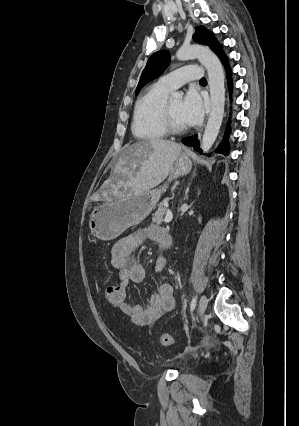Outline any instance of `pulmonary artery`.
Segmentation results:
<instances>
[{
  "label": "pulmonary artery",
  "instance_id": "obj_1",
  "mask_svg": "<svg viewBox=\"0 0 299 426\" xmlns=\"http://www.w3.org/2000/svg\"><path fill=\"white\" fill-rule=\"evenodd\" d=\"M202 76V70L196 65H187L178 68L159 79V83L169 90H174L193 80H198Z\"/></svg>",
  "mask_w": 299,
  "mask_h": 426
}]
</instances>
